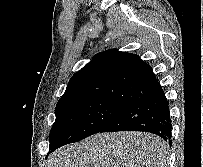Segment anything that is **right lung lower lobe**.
Segmentation results:
<instances>
[{
    "instance_id": "1",
    "label": "right lung lower lobe",
    "mask_w": 203,
    "mask_h": 167,
    "mask_svg": "<svg viewBox=\"0 0 203 167\" xmlns=\"http://www.w3.org/2000/svg\"><path fill=\"white\" fill-rule=\"evenodd\" d=\"M144 131L158 135L171 145L172 124L168 101L162 89L137 99L101 132ZM64 144L51 142L49 149Z\"/></svg>"
}]
</instances>
